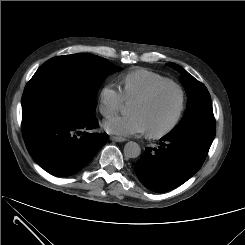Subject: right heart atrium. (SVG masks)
Masks as SVG:
<instances>
[{
    "label": "right heart atrium",
    "mask_w": 245,
    "mask_h": 245,
    "mask_svg": "<svg viewBox=\"0 0 245 245\" xmlns=\"http://www.w3.org/2000/svg\"><path fill=\"white\" fill-rule=\"evenodd\" d=\"M124 102L122 93L110 84L102 86L98 96L99 111L110 116L120 110Z\"/></svg>",
    "instance_id": "right-heart-atrium-1"
}]
</instances>
